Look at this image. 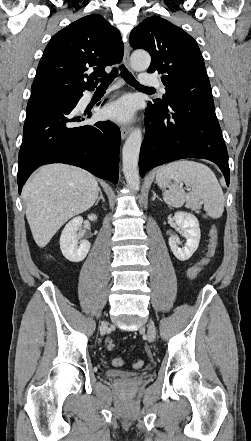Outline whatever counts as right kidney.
<instances>
[{
  "label": "right kidney",
  "mask_w": 251,
  "mask_h": 441,
  "mask_svg": "<svg viewBox=\"0 0 251 441\" xmlns=\"http://www.w3.org/2000/svg\"><path fill=\"white\" fill-rule=\"evenodd\" d=\"M90 221H96L95 214L88 215ZM83 218L75 217L66 224L60 236V249L63 256L71 262H80L87 256L91 244L87 240L78 242L77 234L79 227L82 226Z\"/></svg>",
  "instance_id": "ca27d5eb"
}]
</instances>
